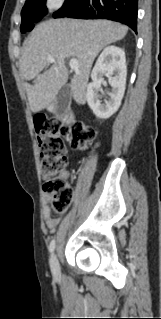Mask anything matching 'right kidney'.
<instances>
[{
    "label": "right kidney",
    "instance_id": "1",
    "mask_svg": "<svg viewBox=\"0 0 161 319\" xmlns=\"http://www.w3.org/2000/svg\"><path fill=\"white\" fill-rule=\"evenodd\" d=\"M109 74V98L102 101L100 92L104 83L103 75ZM127 66L123 49L106 47L100 54L92 70V83L87 86L86 99L93 113L100 119L111 117L120 107L125 92Z\"/></svg>",
    "mask_w": 161,
    "mask_h": 319
}]
</instances>
